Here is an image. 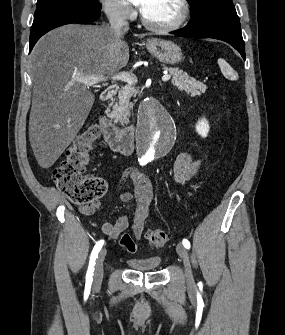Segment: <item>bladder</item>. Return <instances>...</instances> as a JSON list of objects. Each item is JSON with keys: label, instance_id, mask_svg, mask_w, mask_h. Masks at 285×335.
<instances>
[{"label": "bladder", "instance_id": "bladder-1", "mask_svg": "<svg viewBox=\"0 0 285 335\" xmlns=\"http://www.w3.org/2000/svg\"><path fill=\"white\" fill-rule=\"evenodd\" d=\"M162 257L149 256L145 258H127V265L132 271L141 273H152L154 272V265H161Z\"/></svg>", "mask_w": 285, "mask_h": 335}]
</instances>
